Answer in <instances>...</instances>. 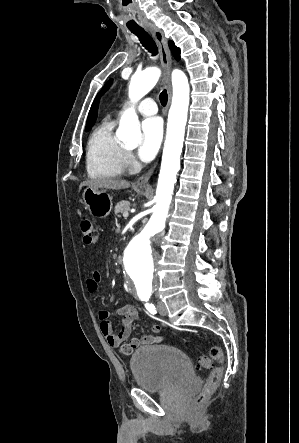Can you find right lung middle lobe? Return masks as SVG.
Masks as SVG:
<instances>
[{
  "instance_id": "dd1d6c3e",
  "label": "right lung middle lobe",
  "mask_w": 299,
  "mask_h": 443,
  "mask_svg": "<svg viewBox=\"0 0 299 443\" xmlns=\"http://www.w3.org/2000/svg\"><path fill=\"white\" fill-rule=\"evenodd\" d=\"M92 126H93V125H87V126H86V131H89V130L91 129Z\"/></svg>"
}]
</instances>
